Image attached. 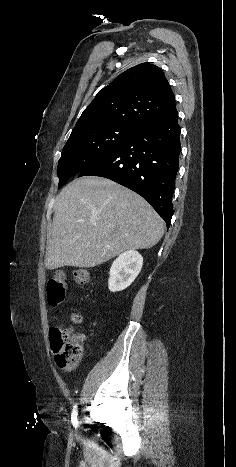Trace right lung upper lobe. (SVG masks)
<instances>
[{
    "label": "right lung upper lobe",
    "mask_w": 236,
    "mask_h": 467,
    "mask_svg": "<svg viewBox=\"0 0 236 467\" xmlns=\"http://www.w3.org/2000/svg\"><path fill=\"white\" fill-rule=\"evenodd\" d=\"M175 109V97L162 70L142 63L126 70L100 90L71 134L109 125L137 130Z\"/></svg>",
    "instance_id": "obj_1"
}]
</instances>
